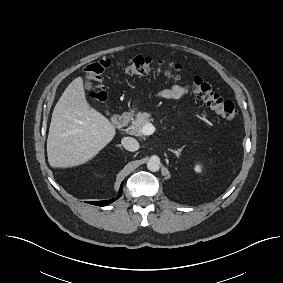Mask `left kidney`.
I'll return each instance as SVG.
<instances>
[{"mask_svg":"<svg viewBox=\"0 0 283 283\" xmlns=\"http://www.w3.org/2000/svg\"><path fill=\"white\" fill-rule=\"evenodd\" d=\"M194 170L197 172V173H200L202 171V168H201V165H196Z\"/></svg>","mask_w":283,"mask_h":283,"instance_id":"1","label":"left kidney"}]
</instances>
